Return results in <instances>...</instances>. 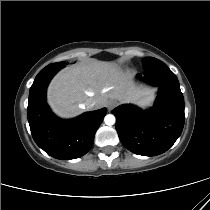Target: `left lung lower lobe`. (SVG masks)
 Listing matches in <instances>:
<instances>
[{
    "mask_svg": "<svg viewBox=\"0 0 210 210\" xmlns=\"http://www.w3.org/2000/svg\"><path fill=\"white\" fill-rule=\"evenodd\" d=\"M138 76L159 87L154 107L143 111L121 105L112 113L123 145L135 154L155 156L167 151L180 136L185 121L184 98L176 75L163 62Z\"/></svg>",
    "mask_w": 210,
    "mask_h": 210,
    "instance_id": "left-lung-lower-lobe-1",
    "label": "left lung lower lobe"
}]
</instances>
